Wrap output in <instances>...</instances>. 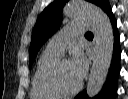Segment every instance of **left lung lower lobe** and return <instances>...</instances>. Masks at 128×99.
Wrapping results in <instances>:
<instances>
[{"mask_svg": "<svg viewBox=\"0 0 128 99\" xmlns=\"http://www.w3.org/2000/svg\"><path fill=\"white\" fill-rule=\"evenodd\" d=\"M100 7L106 12V14L111 18V23L114 29V50H113V58L109 70V74L107 80L103 86L101 92L94 97L93 99H115L116 90H117V80L120 71V44H119V34L117 31L116 20L113 17L111 7L108 3V0H103L100 4ZM75 99H89L86 91L78 94Z\"/></svg>", "mask_w": 128, "mask_h": 99, "instance_id": "obj_1", "label": "left lung lower lobe"}]
</instances>
